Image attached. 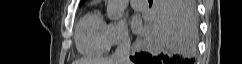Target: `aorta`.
<instances>
[{
	"label": "aorta",
	"mask_w": 242,
	"mask_h": 64,
	"mask_svg": "<svg viewBox=\"0 0 242 64\" xmlns=\"http://www.w3.org/2000/svg\"><path fill=\"white\" fill-rule=\"evenodd\" d=\"M128 0H108L107 16L109 19L119 20L127 7Z\"/></svg>",
	"instance_id": "obj_1"
}]
</instances>
